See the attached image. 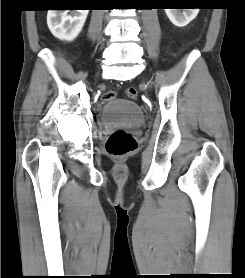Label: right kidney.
<instances>
[{"mask_svg": "<svg viewBox=\"0 0 245 278\" xmlns=\"http://www.w3.org/2000/svg\"><path fill=\"white\" fill-rule=\"evenodd\" d=\"M89 10H48L47 25L60 40L72 41L82 30Z\"/></svg>", "mask_w": 245, "mask_h": 278, "instance_id": "right-kidney-1", "label": "right kidney"}]
</instances>
